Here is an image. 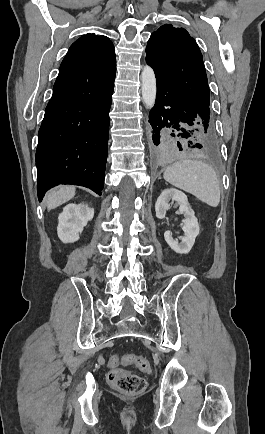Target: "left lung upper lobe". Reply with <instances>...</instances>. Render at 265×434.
<instances>
[{
    "mask_svg": "<svg viewBox=\"0 0 265 434\" xmlns=\"http://www.w3.org/2000/svg\"><path fill=\"white\" fill-rule=\"evenodd\" d=\"M146 60L198 108L210 112V94L203 57L184 28L162 25L151 34Z\"/></svg>",
    "mask_w": 265,
    "mask_h": 434,
    "instance_id": "5c2ea615",
    "label": "left lung upper lobe"
}]
</instances>
